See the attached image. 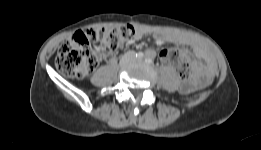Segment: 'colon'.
<instances>
[{
	"instance_id": "colon-1",
	"label": "colon",
	"mask_w": 261,
	"mask_h": 150,
	"mask_svg": "<svg viewBox=\"0 0 261 150\" xmlns=\"http://www.w3.org/2000/svg\"><path fill=\"white\" fill-rule=\"evenodd\" d=\"M135 29L131 25L79 31L59 48L55 65L64 75L85 78L97 66L102 55L124 48L133 39ZM99 43L101 47H95ZM165 63L173 65L178 74L186 79L189 74L188 57L178 49L160 51Z\"/></svg>"
}]
</instances>
